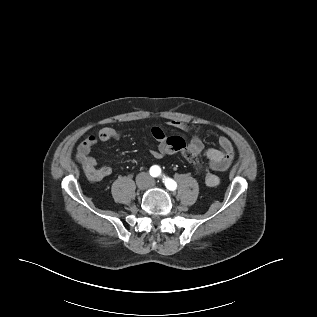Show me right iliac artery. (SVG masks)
Returning <instances> with one entry per match:
<instances>
[{"mask_svg": "<svg viewBox=\"0 0 317 317\" xmlns=\"http://www.w3.org/2000/svg\"><path fill=\"white\" fill-rule=\"evenodd\" d=\"M160 173V168L158 166H153L150 169V175L153 177H157Z\"/></svg>", "mask_w": 317, "mask_h": 317, "instance_id": "1", "label": "right iliac artery"}]
</instances>
